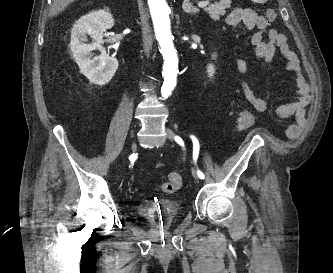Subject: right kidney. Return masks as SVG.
Segmentation results:
<instances>
[{
	"instance_id": "ca27d5eb",
	"label": "right kidney",
	"mask_w": 333,
	"mask_h": 273,
	"mask_svg": "<svg viewBox=\"0 0 333 273\" xmlns=\"http://www.w3.org/2000/svg\"><path fill=\"white\" fill-rule=\"evenodd\" d=\"M114 19L106 10L92 11L82 16L71 30L70 49L80 72L94 84L103 86L110 82L118 69V61L110 57L103 47V33L112 28ZM87 35L93 40L87 43ZM94 50L100 52L94 56Z\"/></svg>"
}]
</instances>
